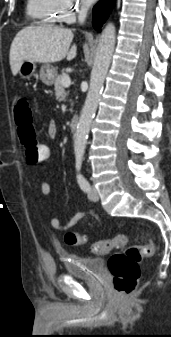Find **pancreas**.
I'll return each mask as SVG.
<instances>
[{
  "instance_id": "obj_1",
  "label": "pancreas",
  "mask_w": 171,
  "mask_h": 337,
  "mask_svg": "<svg viewBox=\"0 0 171 337\" xmlns=\"http://www.w3.org/2000/svg\"><path fill=\"white\" fill-rule=\"evenodd\" d=\"M66 75V73H62L55 80V95L59 101H63L67 95L65 87L62 85V79Z\"/></svg>"
}]
</instances>
